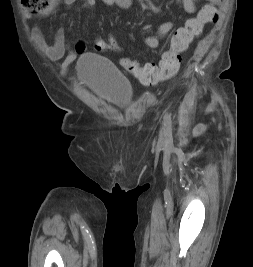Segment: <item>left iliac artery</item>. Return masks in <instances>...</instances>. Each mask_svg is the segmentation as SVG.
Returning a JSON list of instances; mask_svg holds the SVG:
<instances>
[{
  "label": "left iliac artery",
  "instance_id": "obj_1",
  "mask_svg": "<svg viewBox=\"0 0 253 267\" xmlns=\"http://www.w3.org/2000/svg\"><path fill=\"white\" fill-rule=\"evenodd\" d=\"M164 131H165L167 141L171 140V138H172V119H171V115L168 112H166L164 115Z\"/></svg>",
  "mask_w": 253,
  "mask_h": 267
}]
</instances>
